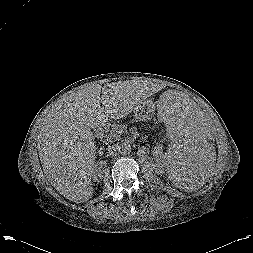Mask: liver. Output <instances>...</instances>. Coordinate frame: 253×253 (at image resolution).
Masks as SVG:
<instances>
[{
	"mask_svg": "<svg viewBox=\"0 0 253 253\" xmlns=\"http://www.w3.org/2000/svg\"><path fill=\"white\" fill-rule=\"evenodd\" d=\"M154 92L132 81L90 85L68 96L43 119L39 157L46 178L61 195L75 203L92 197L96 145L91 129L126 117Z\"/></svg>",
	"mask_w": 253,
	"mask_h": 253,
	"instance_id": "liver-1",
	"label": "liver"
}]
</instances>
